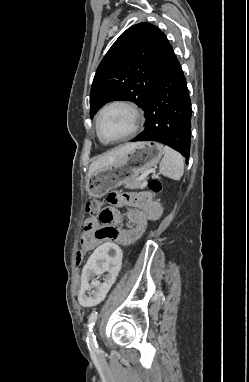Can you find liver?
I'll return each mask as SVG.
<instances>
[{"label": "liver", "mask_w": 249, "mask_h": 382, "mask_svg": "<svg viewBox=\"0 0 249 382\" xmlns=\"http://www.w3.org/2000/svg\"><path fill=\"white\" fill-rule=\"evenodd\" d=\"M136 145L137 143H127L101 156L100 158L91 163L89 167L88 177H90L95 171L114 164L118 161V159L126 155L130 150H132Z\"/></svg>", "instance_id": "obj_1"}]
</instances>
